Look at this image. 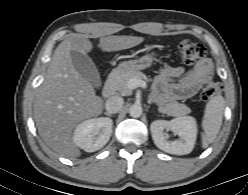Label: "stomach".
I'll list each match as a JSON object with an SVG mask.
<instances>
[{"label": "stomach", "mask_w": 248, "mask_h": 195, "mask_svg": "<svg viewBox=\"0 0 248 195\" xmlns=\"http://www.w3.org/2000/svg\"><path fill=\"white\" fill-rule=\"evenodd\" d=\"M156 54H146L138 59L121 62L114 70L116 74H121L129 71H139L150 67L155 59Z\"/></svg>", "instance_id": "0dacf381"}]
</instances>
